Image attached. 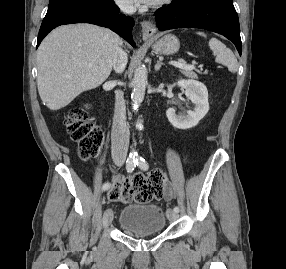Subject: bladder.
Returning <instances> with one entry per match:
<instances>
[{
	"label": "bladder",
	"instance_id": "31cf9c89",
	"mask_svg": "<svg viewBox=\"0 0 286 269\" xmlns=\"http://www.w3.org/2000/svg\"><path fill=\"white\" fill-rule=\"evenodd\" d=\"M118 224L130 233H161L166 228V213L158 205L130 203L121 209Z\"/></svg>",
	"mask_w": 286,
	"mask_h": 269
}]
</instances>
